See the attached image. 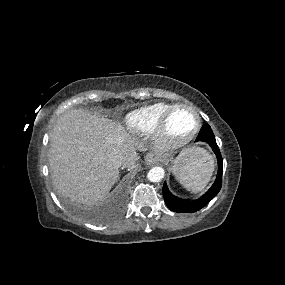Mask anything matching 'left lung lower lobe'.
<instances>
[{
    "mask_svg": "<svg viewBox=\"0 0 285 285\" xmlns=\"http://www.w3.org/2000/svg\"><path fill=\"white\" fill-rule=\"evenodd\" d=\"M196 141H203L208 143L215 152L218 159V174L212 187L199 199L195 201H184L173 196L167 187L166 182L163 185V196L166 205L175 212H196L207 205L220 191L222 185V172H223V160L220 150L216 144L214 134L208 124L202 126Z\"/></svg>",
    "mask_w": 285,
    "mask_h": 285,
    "instance_id": "0a47b994",
    "label": "left lung lower lobe"
}]
</instances>
